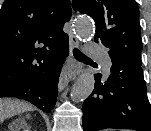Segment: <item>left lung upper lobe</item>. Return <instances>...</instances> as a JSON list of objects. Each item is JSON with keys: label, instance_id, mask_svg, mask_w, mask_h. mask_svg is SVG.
Returning a JSON list of instances; mask_svg holds the SVG:
<instances>
[{"label": "left lung upper lobe", "instance_id": "5c2ea615", "mask_svg": "<svg viewBox=\"0 0 151 131\" xmlns=\"http://www.w3.org/2000/svg\"><path fill=\"white\" fill-rule=\"evenodd\" d=\"M75 11L96 23L95 41L101 39L115 65L141 66L139 9L134 0H73Z\"/></svg>", "mask_w": 151, "mask_h": 131}]
</instances>
